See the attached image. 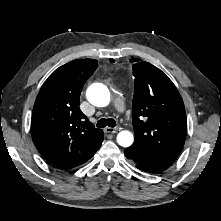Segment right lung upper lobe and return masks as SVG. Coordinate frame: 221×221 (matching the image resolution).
Listing matches in <instances>:
<instances>
[{"label": "right lung upper lobe", "mask_w": 221, "mask_h": 221, "mask_svg": "<svg viewBox=\"0 0 221 221\" xmlns=\"http://www.w3.org/2000/svg\"><path fill=\"white\" fill-rule=\"evenodd\" d=\"M97 60L77 59L56 69L36 98L32 119L33 142L52 166L67 170L89 160L102 144L104 133L81 112L84 83Z\"/></svg>", "instance_id": "right-lung-upper-lobe-1"}]
</instances>
